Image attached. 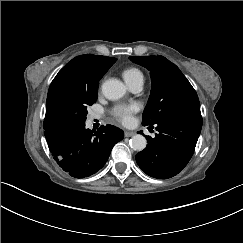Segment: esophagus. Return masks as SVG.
Wrapping results in <instances>:
<instances>
[{"label":"esophagus","instance_id":"esophagus-1","mask_svg":"<svg viewBox=\"0 0 243 243\" xmlns=\"http://www.w3.org/2000/svg\"><path fill=\"white\" fill-rule=\"evenodd\" d=\"M134 135H135V132L125 131V137H132Z\"/></svg>","mask_w":243,"mask_h":243}]
</instances>
